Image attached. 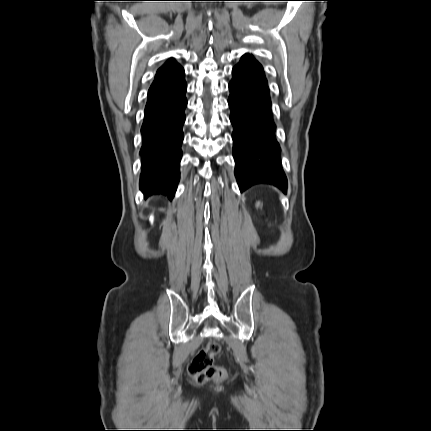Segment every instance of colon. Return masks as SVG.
Returning <instances> with one entry per match:
<instances>
[{"instance_id":"colon-1","label":"colon","mask_w":431,"mask_h":431,"mask_svg":"<svg viewBox=\"0 0 431 431\" xmlns=\"http://www.w3.org/2000/svg\"><path fill=\"white\" fill-rule=\"evenodd\" d=\"M220 349L218 342L210 341L191 361L188 371L198 384H204L209 380L216 382L225 380L226 370L213 364L214 357L220 352Z\"/></svg>"}]
</instances>
